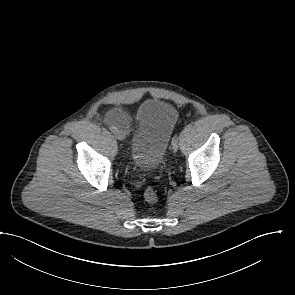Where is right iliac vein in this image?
Listing matches in <instances>:
<instances>
[{"label": "right iliac vein", "instance_id": "63e3f726", "mask_svg": "<svg viewBox=\"0 0 295 295\" xmlns=\"http://www.w3.org/2000/svg\"><path fill=\"white\" fill-rule=\"evenodd\" d=\"M114 134H115V137L120 141L125 139V134L123 133L122 130H118Z\"/></svg>", "mask_w": 295, "mask_h": 295}]
</instances>
